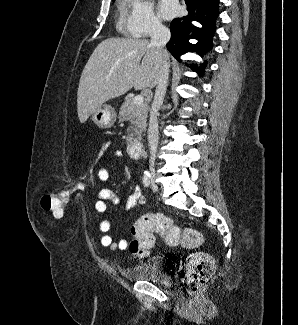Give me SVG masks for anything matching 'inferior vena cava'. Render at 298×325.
<instances>
[{
  "label": "inferior vena cava",
  "instance_id": "602c4592",
  "mask_svg": "<svg viewBox=\"0 0 298 325\" xmlns=\"http://www.w3.org/2000/svg\"><path fill=\"white\" fill-rule=\"evenodd\" d=\"M170 38H171L170 28L164 26V24H162V22H159V20H154L150 46H155V48H158L159 54L161 56L162 64L158 72L159 80L157 82V86L154 94V100L150 108L149 128L147 132L148 144L150 150L149 171L152 177H155L154 163H155L157 146H158V138H159L158 110H160L163 104L166 88L168 86L169 54L166 48V44L168 40H170Z\"/></svg>",
  "mask_w": 298,
  "mask_h": 325
}]
</instances>
